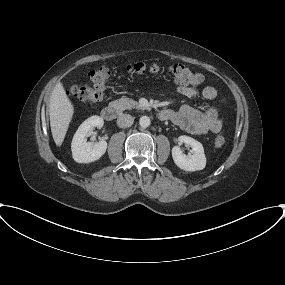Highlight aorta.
<instances>
[{"instance_id": "762f6f07", "label": "aorta", "mask_w": 285, "mask_h": 285, "mask_svg": "<svg viewBox=\"0 0 285 285\" xmlns=\"http://www.w3.org/2000/svg\"><path fill=\"white\" fill-rule=\"evenodd\" d=\"M150 118L148 116H142L140 119H139V124L142 128H147L150 126Z\"/></svg>"}]
</instances>
